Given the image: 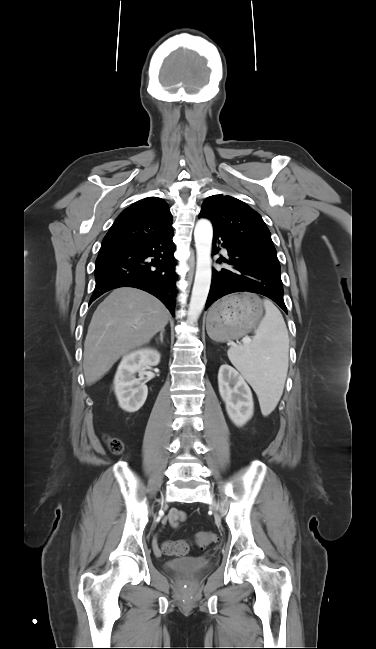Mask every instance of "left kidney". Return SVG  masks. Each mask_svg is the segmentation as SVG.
Segmentation results:
<instances>
[{"instance_id": "obj_1", "label": "left kidney", "mask_w": 376, "mask_h": 649, "mask_svg": "<svg viewBox=\"0 0 376 649\" xmlns=\"http://www.w3.org/2000/svg\"><path fill=\"white\" fill-rule=\"evenodd\" d=\"M219 393L226 411L237 426H243L253 416L254 403L251 389L244 378L231 366L224 364L218 373Z\"/></svg>"}]
</instances>
